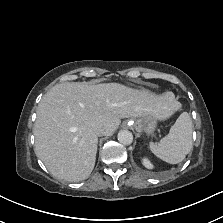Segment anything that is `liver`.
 <instances>
[{"mask_svg":"<svg viewBox=\"0 0 223 223\" xmlns=\"http://www.w3.org/2000/svg\"><path fill=\"white\" fill-rule=\"evenodd\" d=\"M179 107L172 92L156 96L118 83L57 84L37 108L35 153L54 177L84 180L95 165L96 125H103L105 135L110 136L122 118L150 115L164 121Z\"/></svg>","mask_w":223,"mask_h":223,"instance_id":"1","label":"liver"}]
</instances>
